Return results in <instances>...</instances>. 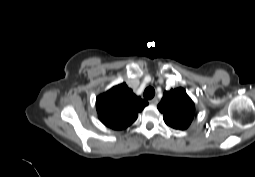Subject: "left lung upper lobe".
Segmentation results:
<instances>
[{"label": "left lung upper lobe", "mask_w": 255, "mask_h": 177, "mask_svg": "<svg viewBox=\"0 0 255 177\" xmlns=\"http://www.w3.org/2000/svg\"><path fill=\"white\" fill-rule=\"evenodd\" d=\"M157 107L165 123L179 130L187 129L197 114L194 102L181 87L165 91Z\"/></svg>", "instance_id": "1"}]
</instances>
